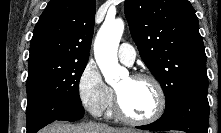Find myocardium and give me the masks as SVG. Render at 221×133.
<instances>
[{"label":"myocardium","mask_w":221,"mask_h":133,"mask_svg":"<svg viewBox=\"0 0 221 133\" xmlns=\"http://www.w3.org/2000/svg\"><path fill=\"white\" fill-rule=\"evenodd\" d=\"M129 77L132 80H146L152 83L157 94V106L153 114H151L149 117H146L143 119L133 118L124 112L120 96L118 92L115 90L116 116L120 120L131 125H148L157 121L162 116L166 108V96H165V92H164L162 84L156 77L147 73H135V74L130 75Z\"/></svg>","instance_id":"obj_1"}]
</instances>
